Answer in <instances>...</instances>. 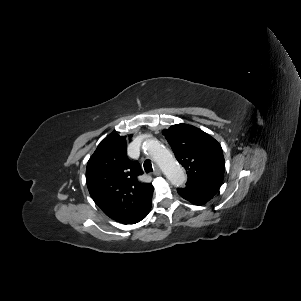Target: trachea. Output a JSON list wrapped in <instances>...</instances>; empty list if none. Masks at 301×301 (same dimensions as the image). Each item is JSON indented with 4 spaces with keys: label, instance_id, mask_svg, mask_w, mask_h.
<instances>
[{
    "label": "trachea",
    "instance_id": "trachea-1",
    "mask_svg": "<svg viewBox=\"0 0 301 301\" xmlns=\"http://www.w3.org/2000/svg\"><path fill=\"white\" fill-rule=\"evenodd\" d=\"M143 166H144V170H145L146 173H149V172L153 171L152 164L149 160H146L144 162Z\"/></svg>",
    "mask_w": 301,
    "mask_h": 301
}]
</instances>
